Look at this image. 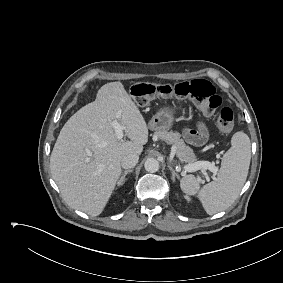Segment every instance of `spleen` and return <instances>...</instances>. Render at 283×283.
Masks as SVG:
<instances>
[{"label": "spleen", "mask_w": 283, "mask_h": 283, "mask_svg": "<svg viewBox=\"0 0 283 283\" xmlns=\"http://www.w3.org/2000/svg\"><path fill=\"white\" fill-rule=\"evenodd\" d=\"M231 148L223 155L217 178L200 189L194 175H187L180 181L182 191L198 195L205 211L213 215L227 209L237 199L248 175L251 144L247 134L236 132L231 139Z\"/></svg>", "instance_id": "obj_1"}]
</instances>
